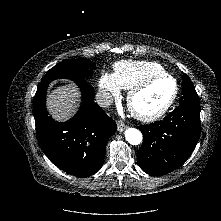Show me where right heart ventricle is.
<instances>
[{"label":"right heart ventricle","mask_w":221,"mask_h":221,"mask_svg":"<svg viewBox=\"0 0 221 221\" xmlns=\"http://www.w3.org/2000/svg\"><path fill=\"white\" fill-rule=\"evenodd\" d=\"M113 69L116 83L126 91L152 76L166 73L161 65L148 61H119L114 64Z\"/></svg>","instance_id":"1"}]
</instances>
